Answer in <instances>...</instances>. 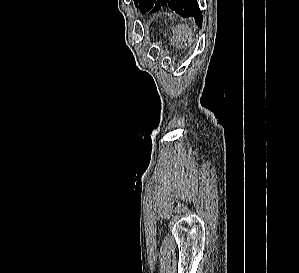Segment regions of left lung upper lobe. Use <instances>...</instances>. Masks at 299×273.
<instances>
[{
	"instance_id": "1",
	"label": "left lung upper lobe",
	"mask_w": 299,
	"mask_h": 273,
	"mask_svg": "<svg viewBox=\"0 0 299 273\" xmlns=\"http://www.w3.org/2000/svg\"><path fill=\"white\" fill-rule=\"evenodd\" d=\"M146 1L147 0H134L137 9L139 8L140 10L143 8Z\"/></svg>"
}]
</instances>
